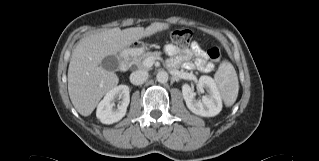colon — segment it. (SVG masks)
<instances>
[{
  "label": "colon",
  "mask_w": 319,
  "mask_h": 161,
  "mask_svg": "<svg viewBox=\"0 0 319 161\" xmlns=\"http://www.w3.org/2000/svg\"><path fill=\"white\" fill-rule=\"evenodd\" d=\"M191 31L182 29V30H175L171 33L170 38L173 42L177 44H186L191 39ZM206 55L209 59L214 62L219 61L220 59V50L218 47H210L206 50Z\"/></svg>",
  "instance_id": "5ec220e1"
}]
</instances>
